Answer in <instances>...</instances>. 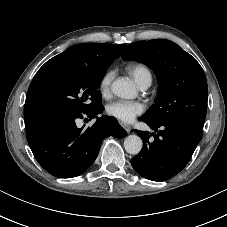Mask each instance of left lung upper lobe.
<instances>
[{
	"mask_svg": "<svg viewBox=\"0 0 227 227\" xmlns=\"http://www.w3.org/2000/svg\"><path fill=\"white\" fill-rule=\"evenodd\" d=\"M123 60L149 66L158 80L155 104L141 117L153 124L182 122L202 129L207 111L208 88L204 71L194 57L164 39L130 44Z\"/></svg>",
	"mask_w": 227,
	"mask_h": 227,
	"instance_id": "left-lung-upper-lobe-1",
	"label": "left lung upper lobe"
}]
</instances>
